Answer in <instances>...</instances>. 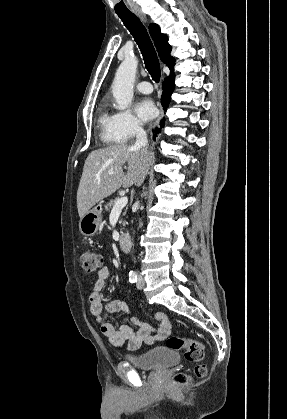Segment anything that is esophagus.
Instances as JSON below:
<instances>
[{
	"mask_svg": "<svg viewBox=\"0 0 287 419\" xmlns=\"http://www.w3.org/2000/svg\"><path fill=\"white\" fill-rule=\"evenodd\" d=\"M136 13V15L142 20V21H144V22H146L147 21V18H146V15L142 12V11H137V12H135ZM162 116H163V109H162V107L160 106V114H159V116H158V118L156 119V121H155V123H154V125H156V124H158V122H159V120L162 118Z\"/></svg>",
	"mask_w": 287,
	"mask_h": 419,
	"instance_id": "obj_1",
	"label": "esophagus"
}]
</instances>
